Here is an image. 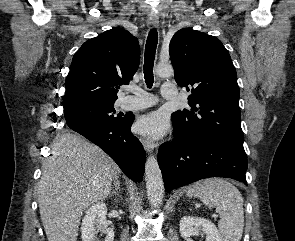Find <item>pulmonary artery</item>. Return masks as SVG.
Masks as SVG:
<instances>
[{"label":"pulmonary artery","instance_id":"e3ab8cb5","mask_svg":"<svg viewBox=\"0 0 295 241\" xmlns=\"http://www.w3.org/2000/svg\"><path fill=\"white\" fill-rule=\"evenodd\" d=\"M134 96H127L123 100V107L127 110H139L150 107L157 102L156 96L141 89L131 90ZM161 95L166 100L177 98V88L173 83H164L161 87Z\"/></svg>","mask_w":295,"mask_h":241}]
</instances>
